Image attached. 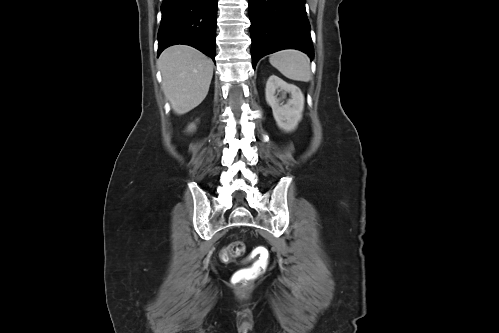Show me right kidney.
<instances>
[{
	"label": "right kidney",
	"mask_w": 499,
	"mask_h": 333,
	"mask_svg": "<svg viewBox=\"0 0 499 333\" xmlns=\"http://www.w3.org/2000/svg\"><path fill=\"white\" fill-rule=\"evenodd\" d=\"M194 128H195V125H193V124H191V125L189 126V130H192V129H194Z\"/></svg>",
	"instance_id": "ca27d5eb"
}]
</instances>
